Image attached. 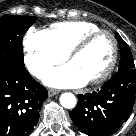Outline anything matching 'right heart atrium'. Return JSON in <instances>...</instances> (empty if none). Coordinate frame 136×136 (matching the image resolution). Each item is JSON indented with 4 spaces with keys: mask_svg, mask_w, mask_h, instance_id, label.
Returning <instances> with one entry per match:
<instances>
[{
    "mask_svg": "<svg viewBox=\"0 0 136 136\" xmlns=\"http://www.w3.org/2000/svg\"><path fill=\"white\" fill-rule=\"evenodd\" d=\"M24 63L35 77H42L54 65L63 62L66 56L51 42L44 30L31 29L23 39Z\"/></svg>",
    "mask_w": 136,
    "mask_h": 136,
    "instance_id": "d8ad5b80",
    "label": "right heart atrium"
}]
</instances>
